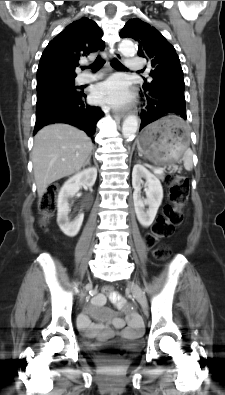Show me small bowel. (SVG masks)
Returning <instances> with one entry per match:
<instances>
[{
    "label": "small bowel",
    "mask_w": 225,
    "mask_h": 395,
    "mask_svg": "<svg viewBox=\"0 0 225 395\" xmlns=\"http://www.w3.org/2000/svg\"><path fill=\"white\" fill-rule=\"evenodd\" d=\"M111 296V301L116 304L117 308L121 310L124 314L123 317L113 316L109 320V324L113 329L118 330L119 334L122 336H132L136 335L142 331V322L139 316L132 312L125 301L122 298L117 297L113 294H99L94 297L92 301V310H99L105 303L106 296ZM104 313H109L104 311ZM79 326L87 337L100 336L102 338H107L113 335V329L109 328L103 323H92L87 314H83L79 318Z\"/></svg>",
    "instance_id": "obj_1"
}]
</instances>
